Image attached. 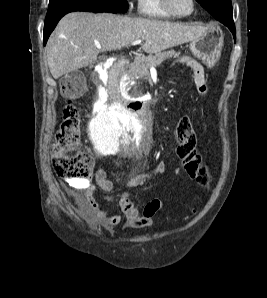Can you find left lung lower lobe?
Instances as JSON below:
<instances>
[{
	"mask_svg": "<svg viewBox=\"0 0 267 298\" xmlns=\"http://www.w3.org/2000/svg\"><path fill=\"white\" fill-rule=\"evenodd\" d=\"M220 22H222L224 25H226L230 31L232 32L234 39L236 38V33H235V26H234V22H233V17H229L226 18L225 20H219Z\"/></svg>",
	"mask_w": 267,
	"mask_h": 298,
	"instance_id": "0a47b994",
	"label": "left lung lower lobe"
}]
</instances>
